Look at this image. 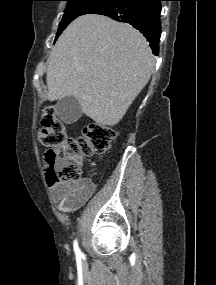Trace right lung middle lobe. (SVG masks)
Wrapping results in <instances>:
<instances>
[{
  "label": "right lung middle lobe",
  "mask_w": 216,
  "mask_h": 285,
  "mask_svg": "<svg viewBox=\"0 0 216 285\" xmlns=\"http://www.w3.org/2000/svg\"><path fill=\"white\" fill-rule=\"evenodd\" d=\"M67 6L64 11L63 18L59 24V29L56 34L55 41L62 31L71 23L75 18L94 13L101 8L113 3L115 0H65Z\"/></svg>",
  "instance_id": "1"
}]
</instances>
